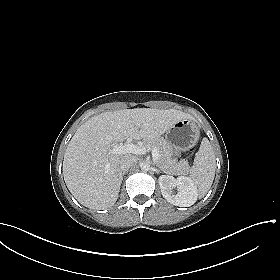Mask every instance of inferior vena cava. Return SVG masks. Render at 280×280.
I'll use <instances>...</instances> for the list:
<instances>
[{"instance_id":"602c4592","label":"inferior vena cava","mask_w":280,"mask_h":280,"mask_svg":"<svg viewBox=\"0 0 280 280\" xmlns=\"http://www.w3.org/2000/svg\"><path fill=\"white\" fill-rule=\"evenodd\" d=\"M137 161L136 156L127 154L120 161V168L122 171H127Z\"/></svg>"}]
</instances>
